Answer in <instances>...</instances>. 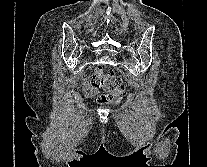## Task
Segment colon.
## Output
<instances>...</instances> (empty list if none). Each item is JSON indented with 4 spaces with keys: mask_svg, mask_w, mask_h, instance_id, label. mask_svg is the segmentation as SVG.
<instances>
[{
    "mask_svg": "<svg viewBox=\"0 0 207 167\" xmlns=\"http://www.w3.org/2000/svg\"><path fill=\"white\" fill-rule=\"evenodd\" d=\"M91 83L93 86L105 91V93L99 97L100 102L120 99L123 95L121 80L112 74L103 72L102 70H98L92 75Z\"/></svg>",
    "mask_w": 207,
    "mask_h": 167,
    "instance_id": "1",
    "label": "colon"
}]
</instances>
